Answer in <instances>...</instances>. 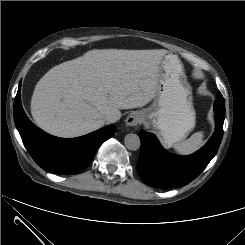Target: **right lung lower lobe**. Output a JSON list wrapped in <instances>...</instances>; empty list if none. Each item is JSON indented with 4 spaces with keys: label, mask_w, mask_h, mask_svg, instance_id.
<instances>
[{
    "label": "right lung lower lobe",
    "mask_w": 245,
    "mask_h": 245,
    "mask_svg": "<svg viewBox=\"0 0 245 245\" xmlns=\"http://www.w3.org/2000/svg\"><path fill=\"white\" fill-rule=\"evenodd\" d=\"M20 89L21 84L14 102L15 125L34 161L46 171L59 175L81 172L92 161L101 144L116 131V126L109 125L78 138L52 136L29 120L22 108Z\"/></svg>",
    "instance_id": "98d812e1"
}]
</instances>
